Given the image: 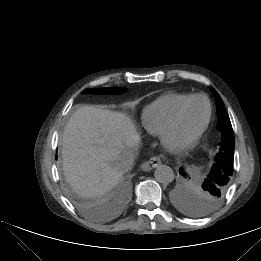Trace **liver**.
I'll list each match as a JSON object with an SVG mask.
<instances>
[{"mask_svg": "<svg viewBox=\"0 0 261 261\" xmlns=\"http://www.w3.org/2000/svg\"><path fill=\"white\" fill-rule=\"evenodd\" d=\"M139 144L140 136L126 114L82 106L63 132L64 175L80 196H102L122 178L118 156Z\"/></svg>", "mask_w": 261, "mask_h": 261, "instance_id": "1", "label": "liver"}]
</instances>
